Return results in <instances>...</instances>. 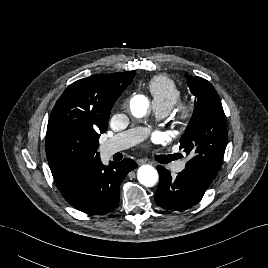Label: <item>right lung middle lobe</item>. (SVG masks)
Listing matches in <instances>:
<instances>
[{
  "mask_svg": "<svg viewBox=\"0 0 268 268\" xmlns=\"http://www.w3.org/2000/svg\"><path fill=\"white\" fill-rule=\"evenodd\" d=\"M99 136L57 132L46 138V155L51 172L73 174L85 169L100 157Z\"/></svg>",
  "mask_w": 268,
  "mask_h": 268,
  "instance_id": "right-lung-middle-lobe-1",
  "label": "right lung middle lobe"
}]
</instances>
